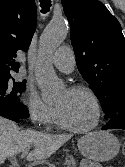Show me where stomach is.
<instances>
[{"label": "stomach", "mask_w": 125, "mask_h": 167, "mask_svg": "<svg viewBox=\"0 0 125 167\" xmlns=\"http://www.w3.org/2000/svg\"><path fill=\"white\" fill-rule=\"evenodd\" d=\"M78 148L88 160L104 162L118 154L120 143L113 134L107 131H95L81 137L78 141Z\"/></svg>", "instance_id": "1"}]
</instances>
